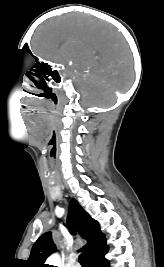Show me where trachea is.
Segmentation results:
<instances>
[{
    "instance_id": "1",
    "label": "trachea",
    "mask_w": 164,
    "mask_h": 267,
    "mask_svg": "<svg viewBox=\"0 0 164 267\" xmlns=\"http://www.w3.org/2000/svg\"><path fill=\"white\" fill-rule=\"evenodd\" d=\"M79 262L82 265V267H88V262L85 253L79 255Z\"/></svg>"
}]
</instances>
